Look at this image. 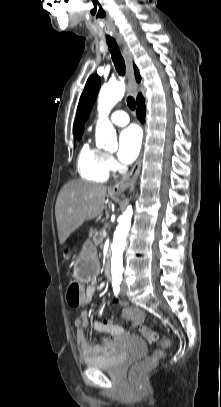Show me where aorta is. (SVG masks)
<instances>
[{
  "mask_svg": "<svg viewBox=\"0 0 221 407\" xmlns=\"http://www.w3.org/2000/svg\"><path fill=\"white\" fill-rule=\"evenodd\" d=\"M125 86L117 82L108 84L99 92L98 111L99 119L96 125V144L110 149L116 145V132L108 120V114L116 103L123 98ZM133 215L132 207L129 206L119 219V224L114 233L111 246V274L113 281H121L123 273V252L126 246V237L131 227Z\"/></svg>",
  "mask_w": 221,
  "mask_h": 407,
  "instance_id": "obj_1",
  "label": "aorta"
}]
</instances>
